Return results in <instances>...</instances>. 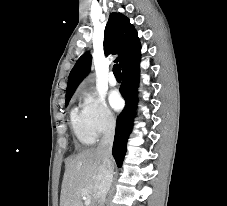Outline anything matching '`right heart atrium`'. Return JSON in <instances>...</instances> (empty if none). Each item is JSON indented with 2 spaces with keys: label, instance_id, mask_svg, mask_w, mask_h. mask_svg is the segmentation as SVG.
Wrapping results in <instances>:
<instances>
[{
  "label": "right heart atrium",
  "instance_id": "obj_1",
  "mask_svg": "<svg viewBox=\"0 0 227 206\" xmlns=\"http://www.w3.org/2000/svg\"><path fill=\"white\" fill-rule=\"evenodd\" d=\"M81 114L88 131L94 138L112 131L116 118L105 99L91 91L80 92Z\"/></svg>",
  "mask_w": 227,
  "mask_h": 206
}]
</instances>
